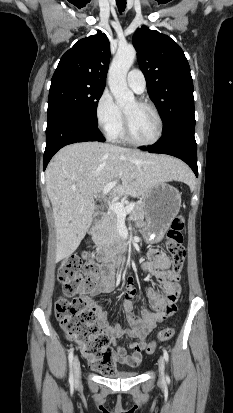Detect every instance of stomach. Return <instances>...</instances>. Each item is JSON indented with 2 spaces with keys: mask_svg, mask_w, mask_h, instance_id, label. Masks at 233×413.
<instances>
[{
  "mask_svg": "<svg viewBox=\"0 0 233 413\" xmlns=\"http://www.w3.org/2000/svg\"><path fill=\"white\" fill-rule=\"evenodd\" d=\"M146 227L143 233L157 242L169 229L181 207L179 191L166 182L154 185L143 196Z\"/></svg>",
  "mask_w": 233,
  "mask_h": 413,
  "instance_id": "0dacf381",
  "label": "stomach"
}]
</instances>
